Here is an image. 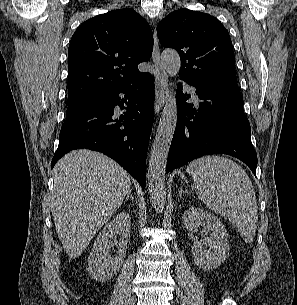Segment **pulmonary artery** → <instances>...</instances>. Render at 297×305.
Segmentation results:
<instances>
[{
    "mask_svg": "<svg viewBox=\"0 0 297 305\" xmlns=\"http://www.w3.org/2000/svg\"><path fill=\"white\" fill-rule=\"evenodd\" d=\"M187 90H189L191 93H194V88L192 86L187 85Z\"/></svg>",
    "mask_w": 297,
    "mask_h": 305,
    "instance_id": "e3ab8cb5",
    "label": "pulmonary artery"
}]
</instances>
